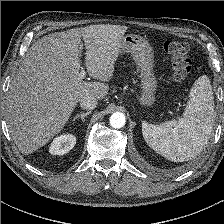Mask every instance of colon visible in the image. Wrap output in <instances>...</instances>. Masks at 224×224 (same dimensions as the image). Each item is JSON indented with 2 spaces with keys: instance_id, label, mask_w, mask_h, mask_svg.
I'll return each mask as SVG.
<instances>
[{
  "instance_id": "5ec220e1",
  "label": "colon",
  "mask_w": 224,
  "mask_h": 224,
  "mask_svg": "<svg viewBox=\"0 0 224 224\" xmlns=\"http://www.w3.org/2000/svg\"><path fill=\"white\" fill-rule=\"evenodd\" d=\"M162 51L171 59L174 80L178 83H184L192 69L189 45L184 41L167 40L162 45Z\"/></svg>"
}]
</instances>
